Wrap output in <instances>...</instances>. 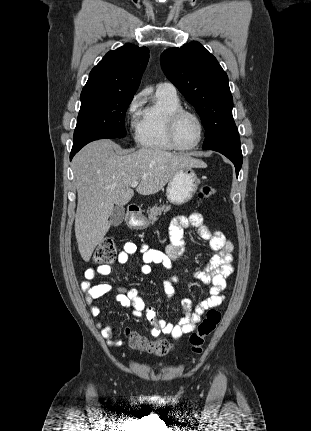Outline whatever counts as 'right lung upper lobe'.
Here are the masks:
<instances>
[{"label":"right lung upper lobe","mask_w":311,"mask_h":431,"mask_svg":"<svg viewBox=\"0 0 311 431\" xmlns=\"http://www.w3.org/2000/svg\"><path fill=\"white\" fill-rule=\"evenodd\" d=\"M148 59V48L129 43L110 51L91 70L82 92L102 91L134 95Z\"/></svg>","instance_id":"cb5924a9"}]
</instances>
